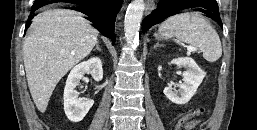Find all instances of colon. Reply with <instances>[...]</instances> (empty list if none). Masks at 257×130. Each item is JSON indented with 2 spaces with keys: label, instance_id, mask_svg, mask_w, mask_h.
Instances as JSON below:
<instances>
[{
  "label": "colon",
  "instance_id": "5ec220e1",
  "mask_svg": "<svg viewBox=\"0 0 257 130\" xmlns=\"http://www.w3.org/2000/svg\"><path fill=\"white\" fill-rule=\"evenodd\" d=\"M203 113V109L199 108L195 111L185 114L176 123L175 130H184L185 125L195 117L200 116Z\"/></svg>",
  "mask_w": 257,
  "mask_h": 130
}]
</instances>
